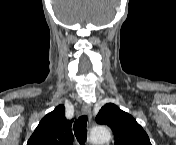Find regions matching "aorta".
I'll use <instances>...</instances> for the list:
<instances>
[{"label":"aorta","mask_w":176,"mask_h":145,"mask_svg":"<svg viewBox=\"0 0 176 145\" xmlns=\"http://www.w3.org/2000/svg\"><path fill=\"white\" fill-rule=\"evenodd\" d=\"M111 139V133L105 126H94L90 131V142L93 145H102Z\"/></svg>","instance_id":"aorta-1"}]
</instances>
